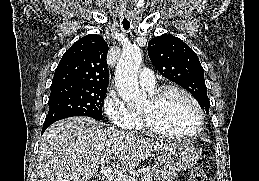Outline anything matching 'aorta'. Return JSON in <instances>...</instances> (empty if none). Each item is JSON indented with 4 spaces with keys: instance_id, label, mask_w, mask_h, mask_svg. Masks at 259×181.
Wrapping results in <instances>:
<instances>
[{
    "instance_id": "obj_1",
    "label": "aorta",
    "mask_w": 259,
    "mask_h": 181,
    "mask_svg": "<svg viewBox=\"0 0 259 181\" xmlns=\"http://www.w3.org/2000/svg\"><path fill=\"white\" fill-rule=\"evenodd\" d=\"M141 62L140 48L129 47L123 50L115 70L117 91L130 109L141 107L147 99L146 93L139 88L138 84Z\"/></svg>"
}]
</instances>
